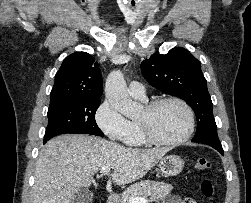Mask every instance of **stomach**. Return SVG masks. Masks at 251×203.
<instances>
[{
    "label": "stomach",
    "instance_id": "1",
    "mask_svg": "<svg viewBox=\"0 0 251 203\" xmlns=\"http://www.w3.org/2000/svg\"><path fill=\"white\" fill-rule=\"evenodd\" d=\"M158 167L164 176H176L182 171L184 161L178 155H167L159 161Z\"/></svg>",
    "mask_w": 251,
    "mask_h": 203
}]
</instances>
